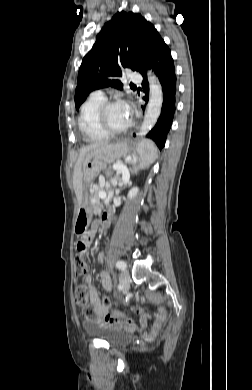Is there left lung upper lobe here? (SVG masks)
Instances as JSON below:
<instances>
[{"instance_id": "obj_1", "label": "left lung upper lobe", "mask_w": 252, "mask_h": 390, "mask_svg": "<svg viewBox=\"0 0 252 390\" xmlns=\"http://www.w3.org/2000/svg\"><path fill=\"white\" fill-rule=\"evenodd\" d=\"M162 40L141 14L117 12L82 60L75 91L76 108L96 89L112 86L121 90L123 85L117 78L122 76V69L142 73Z\"/></svg>"}]
</instances>
